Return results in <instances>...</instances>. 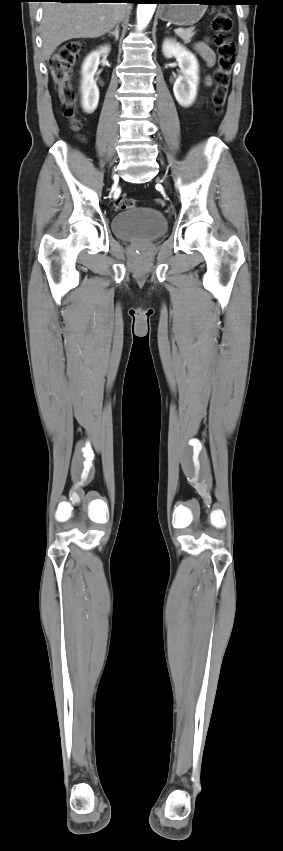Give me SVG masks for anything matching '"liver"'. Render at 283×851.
Instances as JSON below:
<instances>
[{"instance_id":"obj_1","label":"liver","mask_w":283,"mask_h":851,"mask_svg":"<svg viewBox=\"0 0 283 851\" xmlns=\"http://www.w3.org/2000/svg\"><path fill=\"white\" fill-rule=\"evenodd\" d=\"M123 3H56L43 6L41 36L43 58L48 61L56 48L74 38H97L109 32L125 10Z\"/></svg>"}]
</instances>
